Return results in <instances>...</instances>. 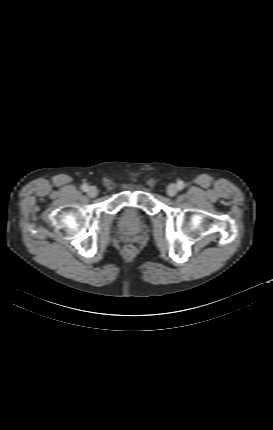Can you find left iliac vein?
I'll return each instance as SVG.
<instances>
[{
  "label": "left iliac vein",
  "instance_id": "4c4485c4",
  "mask_svg": "<svg viewBox=\"0 0 273 430\" xmlns=\"http://www.w3.org/2000/svg\"><path fill=\"white\" fill-rule=\"evenodd\" d=\"M177 192H178V188H177V186H176V185H174V184H170V185L168 186V188H167V194H168L169 196H175V195L177 194Z\"/></svg>",
  "mask_w": 273,
  "mask_h": 430
}]
</instances>
